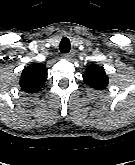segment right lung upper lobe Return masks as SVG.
<instances>
[{"instance_id": "cb5924a9", "label": "right lung upper lobe", "mask_w": 135, "mask_h": 165, "mask_svg": "<svg viewBox=\"0 0 135 165\" xmlns=\"http://www.w3.org/2000/svg\"><path fill=\"white\" fill-rule=\"evenodd\" d=\"M46 79L45 65L32 64L22 71L19 84L26 92L35 93L43 87Z\"/></svg>"}]
</instances>
